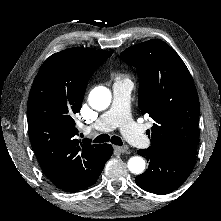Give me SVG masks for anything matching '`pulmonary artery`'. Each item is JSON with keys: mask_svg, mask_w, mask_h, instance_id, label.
I'll return each mask as SVG.
<instances>
[{"mask_svg": "<svg viewBox=\"0 0 221 221\" xmlns=\"http://www.w3.org/2000/svg\"><path fill=\"white\" fill-rule=\"evenodd\" d=\"M133 83L126 80H117L113 84V99L110 108L102 113L91 126L98 131H110L119 127L125 138L138 148H146L150 140L141 126L133 121L129 111L130 94Z\"/></svg>", "mask_w": 221, "mask_h": 221, "instance_id": "pulmonary-artery-1", "label": "pulmonary artery"}]
</instances>
